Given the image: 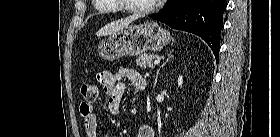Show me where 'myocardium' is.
I'll use <instances>...</instances> for the list:
<instances>
[{
    "label": "myocardium",
    "instance_id": "obj_1",
    "mask_svg": "<svg viewBox=\"0 0 280 137\" xmlns=\"http://www.w3.org/2000/svg\"><path fill=\"white\" fill-rule=\"evenodd\" d=\"M159 5H160L159 1H156L154 4H152L151 6H149L147 8H136V7L126 6V5H122L121 7L129 13L149 14V13L153 12L154 10H156Z\"/></svg>",
    "mask_w": 280,
    "mask_h": 137
}]
</instances>
